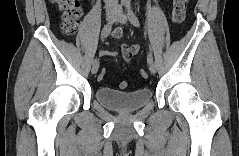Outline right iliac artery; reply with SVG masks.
Segmentation results:
<instances>
[{
	"mask_svg": "<svg viewBox=\"0 0 239 156\" xmlns=\"http://www.w3.org/2000/svg\"><path fill=\"white\" fill-rule=\"evenodd\" d=\"M113 23H114V20L108 22V23L103 27L102 33H101L102 38H106V37L110 34V32H111V30H112V25H113ZM97 61H98V60L95 58V59L93 60V64L96 63Z\"/></svg>",
	"mask_w": 239,
	"mask_h": 156,
	"instance_id": "right-iliac-artery-1",
	"label": "right iliac artery"
}]
</instances>
